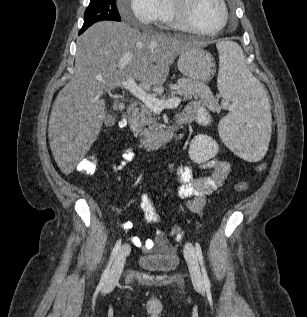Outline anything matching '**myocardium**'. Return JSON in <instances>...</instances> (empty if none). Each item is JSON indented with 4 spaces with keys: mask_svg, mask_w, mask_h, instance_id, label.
<instances>
[{
    "mask_svg": "<svg viewBox=\"0 0 307 317\" xmlns=\"http://www.w3.org/2000/svg\"><path fill=\"white\" fill-rule=\"evenodd\" d=\"M193 2L194 0H170L174 19L181 29L201 36H212L224 29L229 20V10L225 0H218L223 13L220 25L209 31L200 30L193 24L190 17Z\"/></svg>",
    "mask_w": 307,
    "mask_h": 317,
    "instance_id": "1",
    "label": "myocardium"
}]
</instances>
